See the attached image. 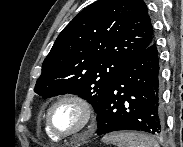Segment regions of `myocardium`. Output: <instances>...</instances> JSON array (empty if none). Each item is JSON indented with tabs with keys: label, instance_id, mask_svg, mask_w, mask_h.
Returning <instances> with one entry per match:
<instances>
[{
	"label": "myocardium",
	"instance_id": "1",
	"mask_svg": "<svg viewBox=\"0 0 183 147\" xmlns=\"http://www.w3.org/2000/svg\"><path fill=\"white\" fill-rule=\"evenodd\" d=\"M63 102H73V103L77 104L81 108V110L83 111V114H84V120H83V124L81 125V127L73 132L65 133V134L56 132L51 123V113H52L53 109L57 105H59L60 103H63ZM45 120H46V127H47L48 131L55 138L62 140V139H68V138L77 136V135L81 134L82 132H84L86 129H88L95 121V113H94V108H93L91 102L88 99H86L85 97H83L81 95H77V94H66V95H63V96L59 97L58 99H56L49 106L47 113H46Z\"/></svg>",
	"mask_w": 183,
	"mask_h": 147
}]
</instances>
